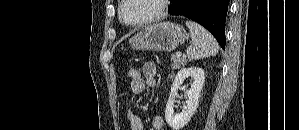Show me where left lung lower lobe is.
Wrapping results in <instances>:
<instances>
[{"mask_svg":"<svg viewBox=\"0 0 299 130\" xmlns=\"http://www.w3.org/2000/svg\"><path fill=\"white\" fill-rule=\"evenodd\" d=\"M170 15L185 16L208 29L225 49L228 0H172Z\"/></svg>","mask_w":299,"mask_h":130,"instance_id":"obj_1","label":"left lung lower lobe"}]
</instances>
